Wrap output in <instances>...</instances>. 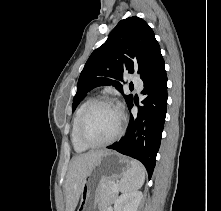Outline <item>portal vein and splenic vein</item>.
<instances>
[{"label": "portal vein and splenic vein", "instance_id": "18ae733b", "mask_svg": "<svg viewBox=\"0 0 221 211\" xmlns=\"http://www.w3.org/2000/svg\"><path fill=\"white\" fill-rule=\"evenodd\" d=\"M114 190H115V191L118 190V183L115 184V186H114Z\"/></svg>", "mask_w": 221, "mask_h": 211}]
</instances>
